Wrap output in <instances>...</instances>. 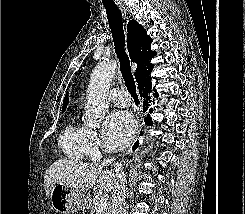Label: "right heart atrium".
Returning <instances> with one entry per match:
<instances>
[{"label":"right heart atrium","mask_w":245,"mask_h":214,"mask_svg":"<svg viewBox=\"0 0 245 214\" xmlns=\"http://www.w3.org/2000/svg\"><path fill=\"white\" fill-rule=\"evenodd\" d=\"M87 155L92 159H98L103 149L102 142L96 131L88 129L86 134Z\"/></svg>","instance_id":"1"}]
</instances>
